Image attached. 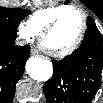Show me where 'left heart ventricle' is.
Masks as SVG:
<instances>
[{"instance_id":"b2bd125f","label":"left heart ventricle","mask_w":103,"mask_h":103,"mask_svg":"<svg viewBox=\"0 0 103 103\" xmlns=\"http://www.w3.org/2000/svg\"><path fill=\"white\" fill-rule=\"evenodd\" d=\"M83 27V16L74 11L63 18L56 28L44 40L46 47L52 50H63L72 45Z\"/></svg>"}]
</instances>
